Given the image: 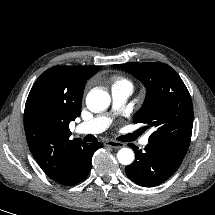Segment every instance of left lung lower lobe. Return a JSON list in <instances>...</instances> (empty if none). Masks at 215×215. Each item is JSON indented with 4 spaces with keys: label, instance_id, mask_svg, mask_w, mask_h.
I'll list each match as a JSON object with an SVG mask.
<instances>
[{
    "label": "left lung lower lobe",
    "instance_id": "1",
    "mask_svg": "<svg viewBox=\"0 0 215 215\" xmlns=\"http://www.w3.org/2000/svg\"><path fill=\"white\" fill-rule=\"evenodd\" d=\"M129 146L134 149L136 159L126 167V175L143 187L163 183L174 174L182 162L154 144L149 143L144 150H139L134 144Z\"/></svg>",
    "mask_w": 215,
    "mask_h": 215
}]
</instances>
